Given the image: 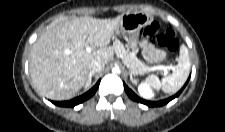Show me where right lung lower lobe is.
Listing matches in <instances>:
<instances>
[{
	"label": "right lung lower lobe",
	"instance_id": "1",
	"mask_svg": "<svg viewBox=\"0 0 225 132\" xmlns=\"http://www.w3.org/2000/svg\"><path fill=\"white\" fill-rule=\"evenodd\" d=\"M99 83H100V80L96 83V85L92 89H90L88 92H86L85 94L79 97H76L69 101H61V102H53V103L55 105L62 106V107H74L75 105L80 104L84 102L85 100L89 99L98 89Z\"/></svg>",
	"mask_w": 225,
	"mask_h": 132
}]
</instances>
